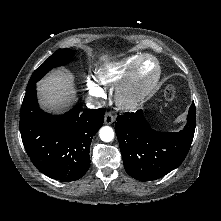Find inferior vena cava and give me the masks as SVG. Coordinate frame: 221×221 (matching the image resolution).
Listing matches in <instances>:
<instances>
[{
	"label": "inferior vena cava",
	"mask_w": 221,
	"mask_h": 221,
	"mask_svg": "<svg viewBox=\"0 0 221 221\" xmlns=\"http://www.w3.org/2000/svg\"><path fill=\"white\" fill-rule=\"evenodd\" d=\"M104 105V102H100L96 99H92L90 98L87 102V107L90 109H96V108H100Z\"/></svg>",
	"instance_id": "1"
}]
</instances>
